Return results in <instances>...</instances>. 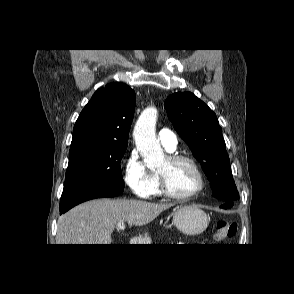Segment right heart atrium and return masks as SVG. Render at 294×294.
I'll return each mask as SVG.
<instances>
[{"mask_svg":"<svg viewBox=\"0 0 294 294\" xmlns=\"http://www.w3.org/2000/svg\"><path fill=\"white\" fill-rule=\"evenodd\" d=\"M122 167L123 179L130 191L139 198H149L156 182V174L147 169L136 149L129 152Z\"/></svg>","mask_w":294,"mask_h":294,"instance_id":"right-heart-atrium-1","label":"right heart atrium"}]
</instances>
